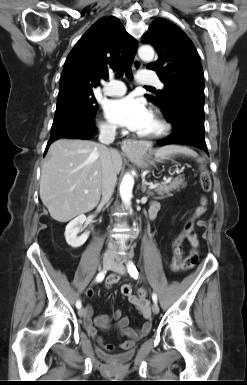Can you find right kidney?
Segmentation results:
<instances>
[{"instance_id": "obj_1", "label": "right kidney", "mask_w": 247, "mask_h": 385, "mask_svg": "<svg viewBox=\"0 0 247 385\" xmlns=\"http://www.w3.org/2000/svg\"><path fill=\"white\" fill-rule=\"evenodd\" d=\"M86 219V216L81 214L66 226L65 239L67 244L72 248H78L82 246L89 237V232H85L80 237H77L80 227L86 221Z\"/></svg>"}]
</instances>
